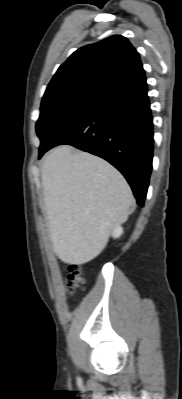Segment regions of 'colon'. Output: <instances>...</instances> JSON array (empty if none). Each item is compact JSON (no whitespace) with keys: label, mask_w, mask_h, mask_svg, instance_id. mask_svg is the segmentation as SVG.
Segmentation results:
<instances>
[{"label":"colon","mask_w":182,"mask_h":399,"mask_svg":"<svg viewBox=\"0 0 182 399\" xmlns=\"http://www.w3.org/2000/svg\"><path fill=\"white\" fill-rule=\"evenodd\" d=\"M84 271L78 265L69 266V284L68 290L70 294H75L83 289Z\"/></svg>","instance_id":"1"}]
</instances>
